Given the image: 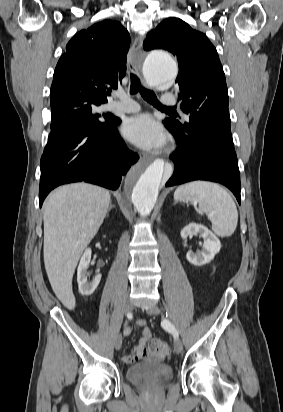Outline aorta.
<instances>
[{
    "label": "aorta",
    "mask_w": 283,
    "mask_h": 412,
    "mask_svg": "<svg viewBox=\"0 0 283 412\" xmlns=\"http://www.w3.org/2000/svg\"><path fill=\"white\" fill-rule=\"evenodd\" d=\"M177 73L175 61L164 51L151 52L143 63V75L151 87L170 86ZM164 171V161L155 160L146 167L131 170L128 174L126 189L131 193L132 202L141 216H148L153 210Z\"/></svg>",
    "instance_id": "aorta-1"
}]
</instances>
